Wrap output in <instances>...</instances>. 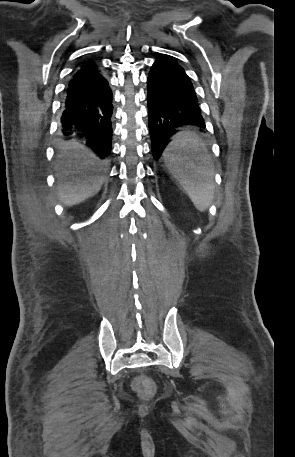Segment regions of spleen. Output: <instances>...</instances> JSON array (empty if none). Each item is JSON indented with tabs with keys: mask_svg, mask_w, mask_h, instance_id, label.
Segmentation results:
<instances>
[{
	"mask_svg": "<svg viewBox=\"0 0 295 457\" xmlns=\"http://www.w3.org/2000/svg\"><path fill=\"white\" fill-rule=\"evenodd\" d=\"M204 149L199 136L193 131L185 130L175 135L163 154L168 168L200 211H205L209 207L214 196ZM191 154H195L196 157H192Z\"/></svg>",
	"mask_w": 295,
	"mask_h": 457,
	"instance_id": "spleen-1",
	"label": "spleen"
}]
</instances>
